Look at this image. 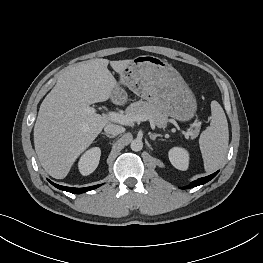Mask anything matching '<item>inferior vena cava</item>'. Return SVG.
I'll return each mask as SVG.
<instances>
[{
	"instance_id": "1",
	"label": "inferior vena cava",
	"mask_w": 263,
	"mask_h": 263,
	"mask_svg": "<svg viewBox=\"0 0 263 263\" xmlns=\"http://www.w3.org/2000/svg\"><path fill=\"white\" fill-rule=\"evenodd\" d=\"M104 131L107 134H111L113 136H116L120 133H123L125 131L124 127L116 125V124H107L104 128Z\"/></svg>"
}]
</instances>
